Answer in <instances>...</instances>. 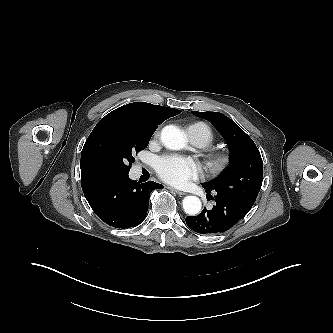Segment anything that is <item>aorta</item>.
<instances>
[{
    "mask_svg": "<svg viewBox=\"0 0 333 333\" xmlns=\"http://www.w3.org/2000/svg\"><path fill=\"white\" fill-rule=\"evenodd\" d=\"M161 141L171 150H180L186 146L185 134L175 125H167L162 129ZM182 204L184 211L189 215L198 214L202 207L200 199L196 196H186Z\"/></svg>",
    "mask_w": 333,
    "mask_h": 333,
    "instance_id": "aorta-1",
    "label": "aorta"
}]
</instances>
